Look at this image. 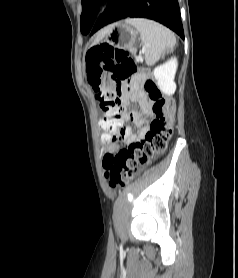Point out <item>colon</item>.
Here are the masks:
<instances>
[{
    "label": "colon",
    "instance_id": "obj_1",
    "mask_svg": "<svg viewBox=\"0 0 238 278\" xmlns=\"http://www.w3.org/2000/svg\"><path fill=\"white\" fill-rule=\"evenodd\" d=\"M87 79L99 103L101 127L106 135H114L120 127L121 93L125 83L139 78L152 102L155 115L144 139L131 144H118L107 149L103 161L106 176L112 187L124 186L138 170L164 153L173 133L175 103L157 88L152 73L139 68L127 50L107 43L90 48L86 53ZM121 149V150H120Z\"/></svg>",
    "mask_w": 238,
    "mask_h": 278
}]
</instances>
